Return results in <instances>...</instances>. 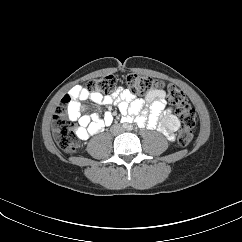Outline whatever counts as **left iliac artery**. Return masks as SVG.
Listing matches in <instances>:
<instances>
[{
  "label": "left iliac artery",
  "mask_w": 242,
  "mask_h": 242,
  "mask_svg": "<svg viewBox=\"0 0 242 242\" xmlns=\"http://www.w3.org/2000/svg\"><path fill=\"white\" fill-rule=\"evenodd\" d=\"M130 130H132V127L130 126V128H129Z\"/></svg>",
  "instance_id": "1"
}]
</instances>
